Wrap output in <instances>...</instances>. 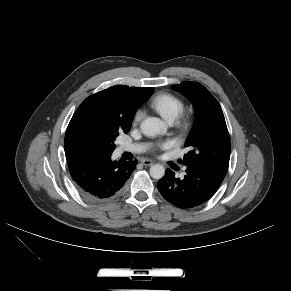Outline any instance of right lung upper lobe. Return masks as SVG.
Here are the masks:
<instances>
[{"label": "right lung upper lobe", "instance_id": "cb5924a9", "mask_svg": "<svg viewBox=\"0 0 291 291\" xmlns=\"http://www.w3.org/2000/svg\"><path fill=\"white\" fill-rule=\"evenodd\" d=\"M152 92V88L115 85L89 96L82 102L73 116H96L131 125L136 110ZM64 149L67 160L82 154L72 145L66 135Z\"/></svg>", "mask_w": 291, "mask_h": 291}]
</instances>
